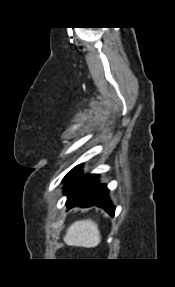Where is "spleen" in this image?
I'll use <instances>...</instances> for the list:
<instances>
[{
    "label": "spleen",
    "instance_id": "spleen-1",
    "mask_svg": "<svg viewBox=\"0 0 175 287\" xmlns=\"http://www.w3.org/2000/svg\"><path fill=\"white\" fill-rule=\"evenodd\" d=\"M63 240L70 246L93 248L101 242V235L93 220H78L69 226Z\"/></svg>",
    "mask_w": 175,
    "mask_h": 287
}]
</instances>
